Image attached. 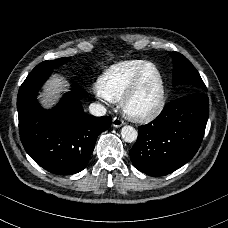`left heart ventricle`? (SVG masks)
Wrapping results in <instances>:
<instances>
[{
	"mask_svg": "<svg viewBox=\"0 0 228 228\" xmlns=\"http://www.w3.org/2000/svg\"><path fill=\"white\" fill-rule=\"evenodd\" d=\"M160 97V80L157 72L154 69L148 70L139 94L134 100V107L140 110H149L154 108Z\"/></svg>",
	"mask_w": 228,
	"mask_h": 228,
	"instance_id": "left-heart-ventricle-1",
	"label": "left heart ventricle"
}]
</instances>
